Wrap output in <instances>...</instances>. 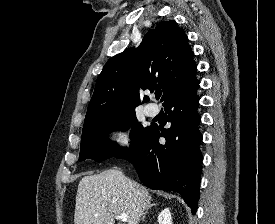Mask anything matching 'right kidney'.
Instances as JSON below:
<instances>
[{
	"mask_svg": "<svg viewBox=\"0 0 275 224\" xmlns=\"http://www.w3.org/2000/svg\"><path fill=\"white\" fill-rule=\"evenodd\" d=\"M159 224H172V217L169 208H165L158 216Z\"/></svg>",
	"mask_w": 275,
	"mask_h": 224,
	"instance_id": "right-kidney-1",
	"label": "right kidney"
}]
</instances>
